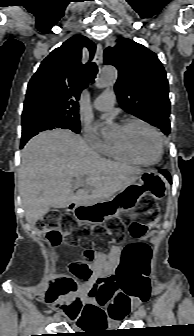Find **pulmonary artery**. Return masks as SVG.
<instances>
[{"label": "pulmonary artery", "mask_w": 194, "mask_h": 336, "mask_svg": "<svg viewBox=\"0 0 194 336\" xmlns=\"http://www.w3.org/2000/svg\"><path fill=\"white\" fill-rule=\"evenodd\" d=\"M114 102H115L114 92L107 90L96 98L93 106L98 111L109 113L112 111Z\"/></svg>", "instance_id": "e3ab8cb5"}]
</instances>
